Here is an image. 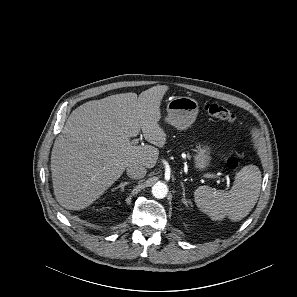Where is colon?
<instances>
[{
	"label": "colon",
	"instance_id": "colon-1",
	"mask_svg": "<svg viewBox=\"0 0 297 297\" xmlns=\"http://www.w3.org/2000/svg\"><path fill=\"white\" fill-rule=\"evenodd\" d=\"M204 110L209 115L227 121L229 123H234L236 120V116L228 110L226 107L217 104V103H207L204 106ZM226 166L229 170L235 171L239 168L240 162L238 158L234 156H230L226 160Z\"/></svg>",
	"mask_w": 297,
	"mask_h": 297
}]
</instances>
